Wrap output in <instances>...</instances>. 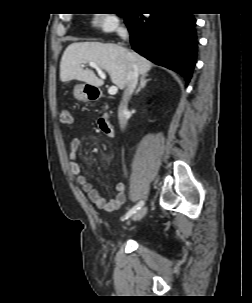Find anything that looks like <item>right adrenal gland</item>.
I'll list each match as a JSON object with an SVG mask.
<instances>
[{
    "mask_svg": "<svg viewBox=\"0 0 252 303\" xmlns=\"http://www.w3.org/2000/svg\"><path fill=\"white\" fill-rule=\"evenodd\" d=\"M147 74H143L140 78V85L138 89L135 91V95H137L143 88L146 87L147 83L150 81V79H146Z\"/></svg>",
    "mask_w": 252,
    "mask_h": 303,
    "instance_id": "1",
    "label": "right adrenal gland"
}]
</instances>
